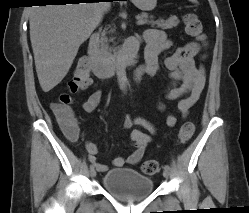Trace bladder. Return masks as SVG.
I'll use <instances>...</instances> for the list:
<instances>
[{"instance_id":"31cf9c89","label":"bladder","mask_w":249,"mask_h":213,"mask_svg":"<svg viewBox=\"0 0 249 213\" xmlns=\"http://www.w3.org/2000/svg\"><path fill=\"white\" fill-rule=\"evenodd\" d=\"M102 187L121 201L135 202L153 192L154 182L134 169L118 168L103 176Z\"/></svg>"}]
</instances>
